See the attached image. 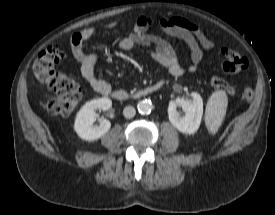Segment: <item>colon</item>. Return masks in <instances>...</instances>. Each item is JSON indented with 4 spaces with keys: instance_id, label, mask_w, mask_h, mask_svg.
I'll use <instances>...</instances> for the list:
<instances>
[{
    "instance_id": "1",
    "label": "colon",
    "mask_w": 275,
    "mask_h": 215,
    "mask_svg": "<svg viewBox=\"0 0 275 215\" xmlns=\"http://www.w3.org/2000/svg\"><path fill=\"white\" fill-rule=\"evenodd\" d=\"M224 60L221 70L227 74H238L248 66L247 59L239 52L224 48L222 50ZM64 59V53L57 46H50L38 55L33 64V73L36 79L47 89L55 93V97L49 102L52 113L62 117L69 116L78 106L82 98L80 84L73 78L57 71L55 66ZM214 87L228 89L229 85L218 75L210 78ZM241 99L248 101L253 97V90L244 87L238 90Z\"/></svg>"
}]
</instances>
